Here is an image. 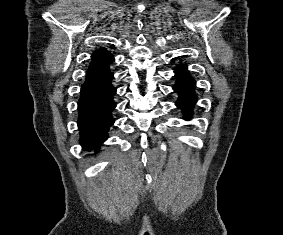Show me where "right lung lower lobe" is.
I'll use <instances>...</instances> for the list:
<instances>
[{
	"instance_id": "obj_1",
	"label": "right lung lower lobe",
	"mask_w": 283,
	"mask_h": 235,
	"mask_svg": "<svg viewBox=\"0 0 283 235\" xmlns=\"http://www.w3.org/2000/svg\"><path fill=\"white\" fill-rule=\"evenodd\" d=\"M109 71L88 77L81 88L78 102V127L81 145L87 150H97L107 139L109 127L114 123L112 111L116 107L113 96L116 89L111 84Z\"/></svg>"
}]
</instances>
